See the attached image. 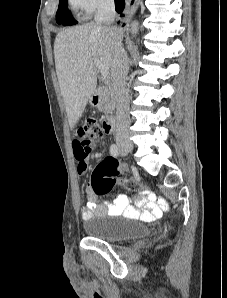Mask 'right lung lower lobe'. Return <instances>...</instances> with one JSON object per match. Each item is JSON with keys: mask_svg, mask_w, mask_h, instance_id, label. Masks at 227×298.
Wrapping results in <instances>:
<instances>
[{"mask_svg": "<svg viewBox=\"0 0 227 298\" xmlns=\"http://www.w3.org/2000/svg\"><path fill=\"white\" fill-rule=\"evenodd\" d=\"M133 1L134 0H132V3H133ZM124 5H125L124 0H115V8H116L117 13H119V14L122 13V10L124 9ZM118 23H120L122 26L125 25L120 20L118 21Z\"/></svg>", "mask_w": 227, "mask_h": 298, "instance_id": "98d812e1", "label": "right lung lower lobe"}]
</instances>
